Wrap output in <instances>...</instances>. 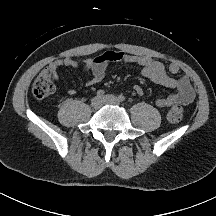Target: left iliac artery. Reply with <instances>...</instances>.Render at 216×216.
Instances as JSON below:
<instances>
[{
	"mask_svg": "<svg viewBox=\"0 0 216 216\" xmlns=\"http://www.w3.org/2000/svg\"><path fill=\"white\" fill-rule=\"evenodd\" d=\"M118 100H119L120 102H124V101H125V97H124L123 95H119V96H118Z\"/></svg>",
	"mask_w": 216,
	"mask_h": 216,
	"instance_id": "1",
	"label": "left iliac artery"
}]
</instances>
